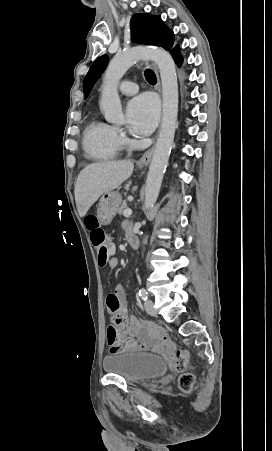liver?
Segmentation results:
<instances>
[{"instance_id": "1", "label": "liver", "mask_w": 272, "mask_h": 451, "mask_svg": "<svg viewBox=\"0 0 272 451\" xmlns=\"http://www.w3.org/2000/svg\"><path fill=\"white\" fill-rule=\"evenodd\" d=\"M133 170L134 164L130 160L101 162V164L86 166L80 172L75 184V202L80 218L86 216L89 208L102 194L115 190L128 180Z\"/></svg>"}]
</instances>
